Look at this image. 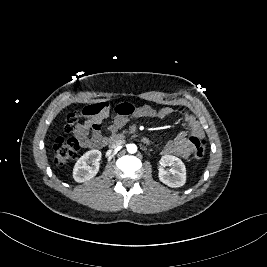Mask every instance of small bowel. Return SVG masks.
Here are the masks:
<instances>
[{
    "label": "small bowel",
    "mask_w": 267,
    "mask_h": 267,
    "mask_svg": "<svg viewBox=\"0 0 267 267\" xmlns=\"http://www.w3.org/2000/svg\"><path fill=\"white\" fill-rule=\"evenodd\" d=\"M88 111L85 120L78 123L74 133L80 144L89 149L101 148L106 144L107 137L102 130L104 120L109 116L110 107L107 103L101 102L85 107ZM116 117L110 126L111 131L123 127L130 118L158 117L164 119L174 113L170 107H163L156 110L153 106H133L130 103H120L115 106ZM185 130L181 131L172 141H169L162 150L164 155H174L188 159L193 151V138L203 139L204 132L196 118L188 111L182 112Z\"/></svg>",
    "instance_id": "c3829d8e"
}]
</instances>
